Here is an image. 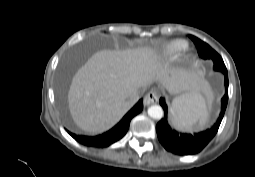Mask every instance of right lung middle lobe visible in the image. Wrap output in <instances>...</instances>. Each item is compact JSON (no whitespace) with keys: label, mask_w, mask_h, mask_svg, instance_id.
I'll list each match as a JSON object with an SVG mask.
<instances>
[{"label":"right lung middle lobe","mask_w":255,"mask_h":177,"mask_svg":"<svg viewBox=\"0 0 255 177\" xmlns=\"http://www.w3.org/2000/svg\"><path fill=\"white\" fill-rule=\"evenodd\" d=\"M60 100L63 102L62 91H60Z\"/></svg>","instance_id":"right-lung-middle-lobe-1"}]
</instances>
